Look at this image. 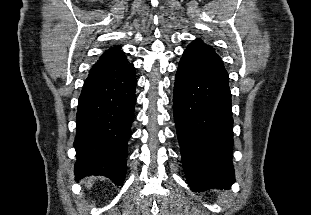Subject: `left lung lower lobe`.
Wrapping results in <instances>:
<instances>
[{
	"label": "left lung lower lobe",
	"instance_id": "left-lung-lower-lobe-1",
	"mask_svg": "<svg viewBox=\"0 0 311 215\" xmlns=\"http://www.w3.org/2000/svg\"><path fill=\"white\" fill-rule=\"evenodd\" d=\"M231 107L222 60L211 46L194 40L180 60L173 93L182 163L194 192L235 182Z\"/></svg>",
	"mask_w": 311,
	"mask_h": 215
}]
</instances>
